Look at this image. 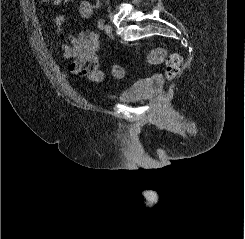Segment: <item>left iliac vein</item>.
<instances>
[{
    "label": "left iliac vein",
    "mask_w": 245,
    "mask_h": 239,
    "mask_svg": "<svg viewBox=\"0 0 245 239\" xmlns=\"http://www.w3.org/2000/svg\"><path fill=\"white\" fill-rule=\"evenodd\" d=\"M104 31L108 36H113V29L112 26L110 24H106L104 26Z\"/></svg>",
    "instance_id": "4c4485c4"
}]
</instances>
